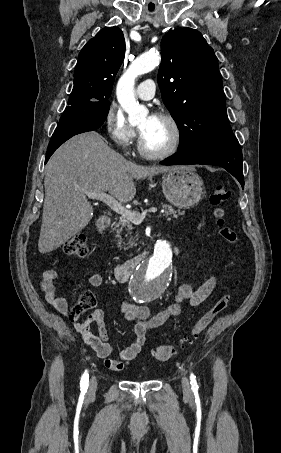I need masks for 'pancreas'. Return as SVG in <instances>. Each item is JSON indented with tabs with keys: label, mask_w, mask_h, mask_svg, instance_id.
<instances>
[{
	"label": "pancreas",
	"mask_w": 281,
	"mask_h": 453,
	"mask_svg": "<svg viewBox=\"0 0 281 453\" xmlns=\"http://www.w3.org/2000/svg\"><path fill=\"white\" fill-rule=\"evenodd\" d=\"M163 208H168V210H164V214L163 216H168L167 220H171L170 216H174V218H177L178 214V210H174V208H172V206H170V204H162ZM179 214H181V212H179ZM115 231L117 233V237H120L121 239V233H123V231H132L133 227H132V224L130 222V220H127V218H123V216H121V218H119L118 222H116L115 224ZM130 235V247H137V243H135L134 241V237H132V233H129ZM127 237V235H126ZM121 243V241H120Z\"/></svg>",
	"instance_id": "obj_1"
}]
</instances>
